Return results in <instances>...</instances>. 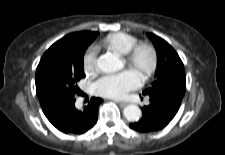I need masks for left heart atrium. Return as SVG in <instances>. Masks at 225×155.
I'll return each mask as SVG.
<instances>
[{"instance_id":"obj_1","label":"left heart atrium","mask_w":225,"mask_h":155,"mask_svg":"<svg viewBox=\"0 0 225 155\" xmlns=\"http://www.w3.org/2000/svg\"><path fill=\"white\" fill-rule=\"evenodd\" d=\"M141 81V77L136 71L125 70L101 77L94 84V91L100 96L119 99L129 91L137 89L141 85Z\"/></svg>"}]
</instances>
